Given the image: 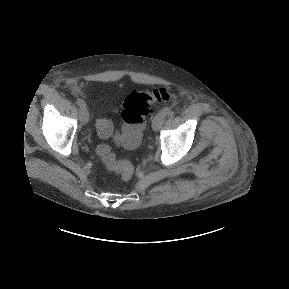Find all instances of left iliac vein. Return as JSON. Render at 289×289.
I'll list each match as a JSON object with an SVG mask.
<instances>
[{"label":"left iliac vein","mask_w":289,"mask_h":289,"mask_svg":"<svg viewBox=\"0 0 289 289\" xmlns=\"http://www.w3.org/2000/svg\"><path fill=\"white\" fill-rule=\"evenodd\" d=\"M165 115L162 112H158L152 119V128L154 131H158L160 129L163 121H164Z\"/></svg>","instance_id":"obj_1"}]
</instances>
